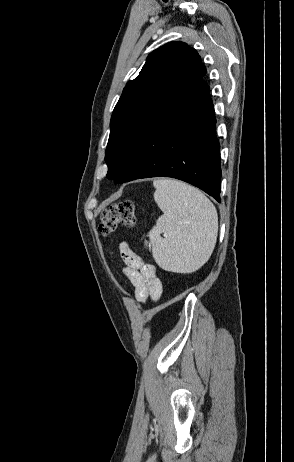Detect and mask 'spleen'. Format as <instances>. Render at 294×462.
Here are the masks:
<instances>
[{"mask_svg": "<svg viewBox=\"0 0 294 462\" xmlns=\"http://www.w3.org/2000/svg\"><path fill=\"white\" fill-rule=\"evenodd\" d=\"M154 199L163 215L149 232V249L164 270L192 273L210 258L217 240L218 216L197 188L173 179L154 180ZM164 233L165 237L160 236Z\"/></svg>", "mask_w": 294, "mask_h": 462, "instance_id": "1", "label": "spleen"}]
</instances>
